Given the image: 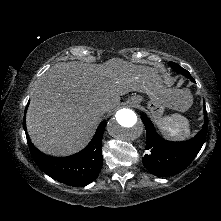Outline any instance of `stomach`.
<instances>
[{"mask_svg": "<svg viewBox=\"0 0 221 221\" xmlns=\"http://www.w3.org/2000/svg\"><path fill=\"white\" fill-rule=\"evenodd\" d=\"M166 96L178 95L181 106L183 109H187L190 105V96L187 92L176 91L172 89H166ZM133 103H139L143 101V97L140 95H133L131 98ZM147 108L150 111L151 115L155 120H159L163 115L165 109L167 108L166 102L164 98L161 97H149L147 101Z\"/></svg>", "mask_w": 221, "mask_h": 221, "instance_id": "1", "label": "stomach"}]
</instances>
